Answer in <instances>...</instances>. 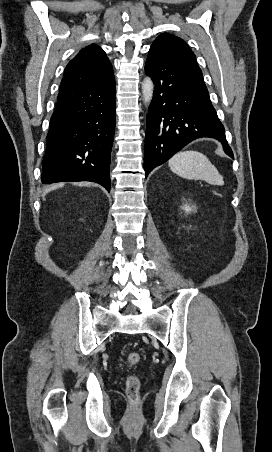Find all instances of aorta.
<instances>
[{"label": "aorta", "instance_id": "762f6f07", "mask_svg": "<svg viewBox=\"0 0 272 452\" xmlns=\"http://www.w3.org/2000/svg\"><path fill=\"white\" fill-rule=\"evenodd\" d=\"M154 84L150 77H146L142 83L143 100L146 104H150L153 98Z\"/></svg>", "mask_w": 272, "mask_h": 452}]
</instances>
